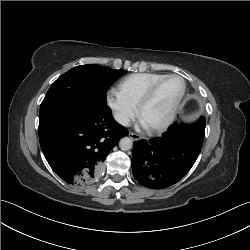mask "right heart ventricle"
<instances>
[{
  "mask_svg": "<svg viewBox=\"0 0 250 250\" xmlns=\"http://www.w3.org/2000/svg\"><path fill=\"white\" fill-rule=\"evenodd\" d=\"M161 73H135L126 76L119 83V92L134 106H137L150 85L163 77Z\"/></svg>",
  "mask_w": 250,
  "mask_h": 250,
  "instance_id": "right-heart-ventricle-1",
  "label": "right heart ventricle"
}]
</instances>
